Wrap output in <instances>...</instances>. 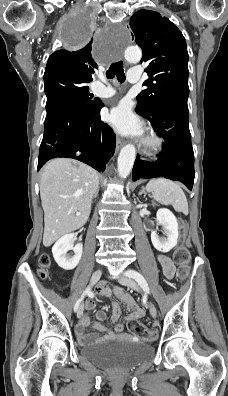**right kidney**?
<instances>
[{"instance_id":"obj_1","label":"right kidney","mask_w":228,"mask_h":396,"mask_svg":"<svg viewBox=\"0 0 228 396\" xmlns=\"http://www.w3.org/2000/svg\"><path fill=\"white\" fill-rule=\"evenodd\" d=\"M75 239L74 233L66 234L61 237L52 248L56 263L64 270L74 269L81 260L83 246L81 243L74 246ZM70 250L74 251L73 256L68 254Z\"/></svg>"}]
</instances>
